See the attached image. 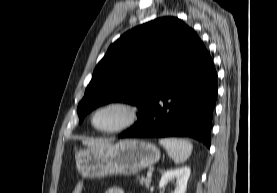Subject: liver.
Returning <instances> with one entry per match:
<instances>
[{
    "mask_svg": "<svg viewBox=\"0 0 277 193\" xmlns=\"http://www.w3.org/2000/svg\"><path fill=\"white\" fill-rule=\"evenodd\" d=\"M83 144L91 148H101L105 147L109 143L103 140H83Z\"/></svg>",
    "mask_w": 277,
    "mask_h": 193,
    "instance_id": "1",
    "label": "liver"
}]
</instances>
